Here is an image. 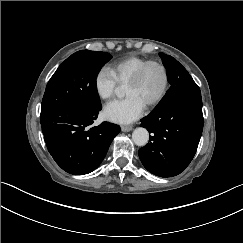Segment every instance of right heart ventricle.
Instances as JSON below:
<instances>
[{
    "label": "right heart ventricle",
    "mask_w": 243,
    "mask_h": 243,
    "mask_svg": "<svg viewBox=\"0 0 243 243\" xmlns=\"http://www.w3.org/2000/svg\"><path fill=\"white\" fill-rule=\"evenodd\" d=\"M147 58L138 55H131L113 63L110 68L117 83L125 84L132 74L144 63Z\"/></svg>",
    "instance_id": "obj_1"
}]
</instances>
